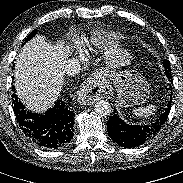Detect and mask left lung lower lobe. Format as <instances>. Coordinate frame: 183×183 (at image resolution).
<instances>
[{
  "instance_id": "0a47b994",
  "label": "left lung lower lobe",
  "mask_w": 183,
  "mask_h": 183,
  "mask_svg": "<svg viewBox=\"0 0 183 183\" xmlns=\"http://www.w3.org/2000/svg\"><path fill=\"white\" fill-rule=\"evenodd\" d=\"M167 78L172 81L171 68L166 72ZM171 99L168 102L164 113L159 119L151 122L147 125L131 126L126 124L121 118H119L116 111L109 118L107 123V130L109 136L120 146L125 148H132L142 145L147 140L152 138L165 123L167 116L170 112Z\"/></svg>"
}]
</instances>
